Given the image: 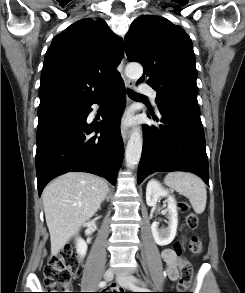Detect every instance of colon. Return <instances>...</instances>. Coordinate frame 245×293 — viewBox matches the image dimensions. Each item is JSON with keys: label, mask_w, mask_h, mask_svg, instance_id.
<instances>
[{"label": "colon", "mask_w": 245, "mask_h": 293, "mask_svg": "<svg viewBox=\"0 0 245 293\" xmlns=\"http://www.w3.org/2000/svg\"><path fill=\"white\" fill-rule=\"evenodd\" d=\"M182 212L187 213L185 217L186 224L189 228L198 226V217L196 214L188 212L189 206L185 202L178 204ZM189 250L192 254L198 255L202 250V241L199 237L193 236L190 239ZM175 254L179 257L183 254L181 246L176 245ZM80 255L72 247L63 248L57 255L50 258L43 266L45 285L53 293H73L69 292L72 281L81 271ZM193 276L191 265L185 261L180 268L179 286L190 284Z\"/></svg>", "instance_id": "1"}]
</instances>
